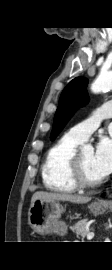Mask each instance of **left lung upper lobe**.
<instances>
[{
    "instance_id": "1",
    "label": "left lung upper lobe",
    "mask_w": 112,
    "mask_h": 270,
    "mask_svg": "<svg viewBox=\"0 0 112 270\" xmlns=\"http://www.w3.org/2000/svg\"><path fill=\"white\" fill-rule=\"evenodd\" d=\"M87 83L88 80L86 78L77 77L63 90L54 117L53 129L50 136L51 140H54L61 132L76 110L89 101L86 91Z\"/></svg>"
}]
</instances>
